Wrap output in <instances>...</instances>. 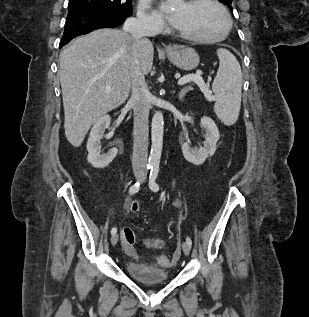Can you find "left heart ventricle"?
Instances as JSON below:
<instances>
[{
	"instance_id": "left-heart-ventricle-1",
	"label": "left heart ventricle",
	"mask_w": 309,
	"mask_h": 317,
	"mask_svg": "<svg viewBox=\"0 0 309 317\" xmlns=\"http://www.w3.org/2000/svg\"><path fill=\"white\" fill-rule=\"evenodd\" d=\"M172 14L176 17L175 28L194 36H218L225 25L220 11L209 3L190 5L180 2L173 8Z\"/></svg>"
}]
</instances>
